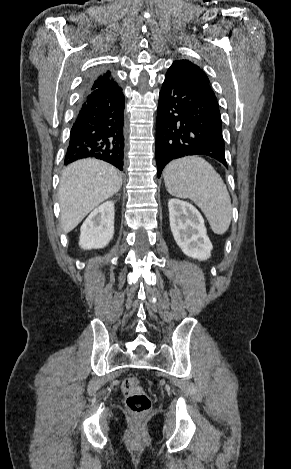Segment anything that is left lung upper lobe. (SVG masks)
<instances>
[{
  "instance_id": "left-lung-upper-lobe-1",
  "label": "left lung upper lobe",
  "mask_w": 291,
  "mask_h": 469,
  "mask_svg": "<svg viewBox=\"0 0 291 469\" xmlns=\"http://www.w3.org/2000/svg\"><path fill=\"white\" fill-rule=\"evenodd\" d=\"M168 72L180 74L186 81L215 96L209 86L207 75L197 65L193 64L189 60L174 61Z\"/></svg>"
}]
</instances>
